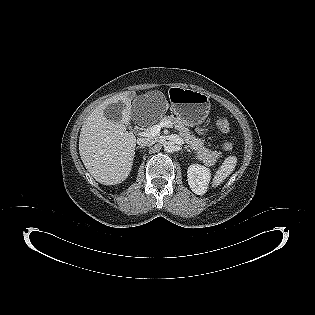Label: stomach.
Wrapping results in <instances>:
<instances>
[{
  "mask_svg": "<svg viewBox=\"0 0 315 315\" xmlns=\"http://www.w3.org/2000/svg\"><path fill=\"white\" fill-rule=\"evenodd\" d=\"M168 96L171 110L188 126L201 124L210 112L209 96L204 92L175 86L169 89Z\"/></svg>",
  "mask_w": 315,
  "mask_h": 315,
  "instance_id": "0dacf381",
  "label": "stomach"
}]
</instances>
